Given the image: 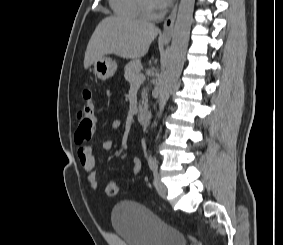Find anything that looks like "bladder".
<instances>
[{
    "instance_id": "bladder-1",
    "label": "bladder",
    "mask_w": 283,
    "mask_h": 245,
    "mask_svg": "<svg viewBox=\"0 0 283 245\" xmlns=\"http://www.w3.org/2000/svg\"><path fill=\"white\" fill-rule=\"evenodd\" d=\"M111 221L127 245H187V238L181 231L134 201L117 203L112 209Z\"/></svg>"
}]
</instances>
